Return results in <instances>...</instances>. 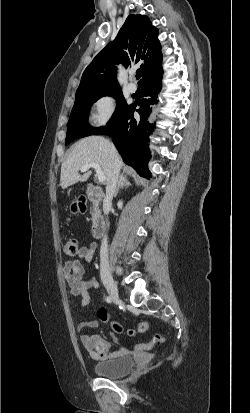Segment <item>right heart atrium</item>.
Segmentation results:
<instances>
[{
  "label": "right heart atrium",
  "instance_id": "d8ad5b80",
  "mask_svg": "<svg viewBox=\"0 0 250 413\" xmlns=\"http://www.w3.org/2000/svg\"><path fill=\"white\" fill-rule=\"evenodd\" d=\"M116 111V99L111 94L99 96L91 105L90 122L94 127L106 125Z\"/></svg>",
  "mask_w": 250,
  "mask_h": 413
}]
</instances>
